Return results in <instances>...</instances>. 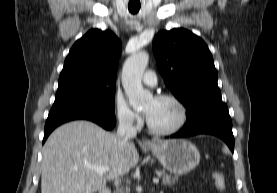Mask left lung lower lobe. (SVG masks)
Masks as SVG:
<instances>
[{
  "label": "left lung lower lobe",
  "mask_w": 277,
  "mask_h": 193,
  "mask_svg": "<svg viewBox=\"0 0 277 193\" xmlns=\"http://www.w3.org/2000/svg\"><path fill=\"white\" fill-rule=\"evenodd\" d=\"M197 134H211L223 139L231 151H234L232 122L226 104H211L202 107L186 119L183 129L171 138H183Z\"/></svg>",
  "instance_id": "0a47b994"
}]
</instances>
